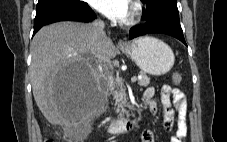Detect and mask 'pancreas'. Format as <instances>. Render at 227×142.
Here are the masks:
<instances>
[{"label": "pancreas", "mask_w": 227, "mask_h": 142, "mask_svg": "<svg viewBox=\"0 0 227 142\" xmlns=\"http://www.w3.org/2000/svg\"><path fill=\"white\" fill-rule=\"evenodd\" d=\"M140 75L141 79L138 80V85L147 86L150 83V78L144 72H141ZM113 87L116 88L113 90L116 111L125 114L127 113L125 107H128L129 104L127 102L126 92L122 84V80L116 79Z\"/></svg>", "instance_id": "cf45deb5"}]
</instances>
